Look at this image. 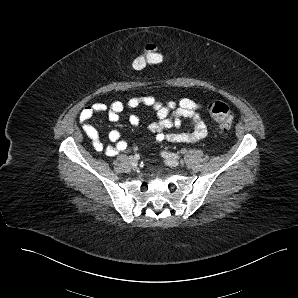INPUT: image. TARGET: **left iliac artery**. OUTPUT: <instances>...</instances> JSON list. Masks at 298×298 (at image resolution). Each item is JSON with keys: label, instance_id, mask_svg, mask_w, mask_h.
Returning <instances> with one entry per match:
<instances>
[{"label": "left iliac artery", "instance_id": "left-iliac-artery-1", "mask_svg": "<svg viewBox=\"0 0 298 298\" xmlns=\"http://www.w3.org/2000/svg\"><path fill=\"white\" fill-rule=\"evenodd\" d=\"M161 154L164 158H174V159H179L180 158V156L176 153H170V152L163 151Z\"/></svg>", "mask_w": 298, "mask_h": 298}]
</instances>
